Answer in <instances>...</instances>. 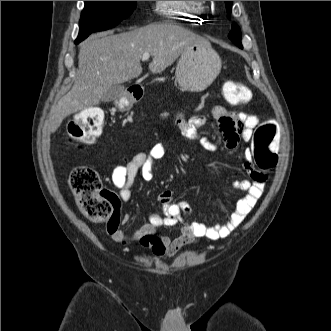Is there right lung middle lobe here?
<instances>
[{
  "label": "right lung middle lobe",
  "instance_id": "dd1d6c3e",
  "mask_svg": "<svg viewBox=\"0 0 331 331\" xmlns=\"http://www.w3.org/2000/svg\"><path fill=\"white\" fill-rule=\"evenodd\" d=\"M135 7L136 1H85L75 43L78 44L92 32L115 27L130 16Z\"/></svg>",
  "mask_w": 331,
  "mask_h": 331
}]
</instances>
